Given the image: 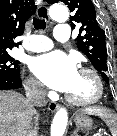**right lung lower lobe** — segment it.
Masks as SVG:
<instances>
[{
    "mask_svg": "<svg viewBox=\"0 0 117 136\" xmlns=\"http://www.w3.org/2000/svg\"><path fill=\"white\" fill-rule=\"evenodd\" d=\"M20 74H0V90L21 88Z\"/></svg>",
    "mask_w": 117,
    "mask_h": 136,
    "instance_id": "right-lung-lower-lobe-1",
    "label": "right lung lower lobe"
}]
</instances>
